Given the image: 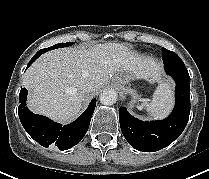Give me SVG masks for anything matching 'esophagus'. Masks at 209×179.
<instances>
[{
	"label": "esophagus",
	"mask_w": 209,
	"mask_h": 179,
	"mask_svg": "<svg viewBox=\"0 0 209 179\" xmlns=\"http://www.w3.org/2000/svg\"><path fill=\"white\" fill-rule=\"evenodd\" d=\"M119 99L120 100H125L126 99V94L125 93H120L119 94Z\"/></svg>",
	"instance_id": "1"
}]
</instances>
